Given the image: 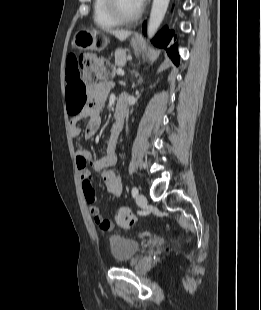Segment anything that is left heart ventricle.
<instances>
[{"mask_svg":"<svg viewBox=\"0 0 261 310\" xmlns=\"http://www.w3.org/2000/svg\"><path fill=\"white\" fill-rule=\"evenodd\" d=\"M118 6L124 15L130 16L135 14L139 10L135 0H117Z\"/></svg>","mask_w":261,"mask_h":310,"instance_id":"obj_1","label":"left heart ventricle"}]
</instances>
